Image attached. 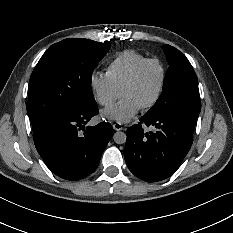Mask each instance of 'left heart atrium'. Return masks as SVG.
<instances>
[{
  "label": "left heart atrium",
  "instance_id": "obj_1",
  "mask_svg": "<svg viewBox=\"0 0 233 233\" xmlns=\"http://www.w3.org/2000/svg\"><path fill=\"white\" fill-rule=\"evenodd\" d=\"M142 108V105L131 97H123L116 104L100 112L102 120L126 123Z\"/></svg>",
  "mask_w": 233,
  "mask_h": 233
}]
</instances>
